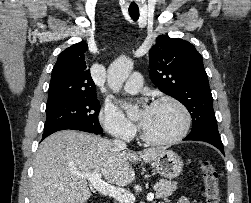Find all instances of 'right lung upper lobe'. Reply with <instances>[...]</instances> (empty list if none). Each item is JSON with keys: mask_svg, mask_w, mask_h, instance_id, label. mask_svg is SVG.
<instances>
[{"mask_svg": "<svg viewBox=\"0 0 251 203\" xmlns=\"http://www.w3.org/2000/svg\"><path fill=\"white\" fill-rule=\"evenodd\" d=\"M82 41L65 49L52 70L47 107L96 96L95 83L87 69Z\"/></svg>", "mask_w": 251, "mask_h": 203, "instance_id": "cb5924a9", "label": "right lung upper lobe"}]
</instances>
